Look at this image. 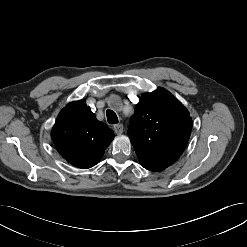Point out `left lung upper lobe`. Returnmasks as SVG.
<instances>
[{
  "label": "left lung upper lobe",
  "instance_id": "left-lung-upper-lobe-1",
  "mask_svg": "<svg viewBox=\"0 0 247 247\" xmlns=\"http://www.w3.org/2000/svg\"><path fill=\"white\" fill-rule=\"evenodd\" d=\"M191 129L187 109L166 89L158 88L141 96L127 133L140 164L161 171L181 156Z\"/></svg>",
  "mask_w": 247,
  "mask_h": 247
}]
</instances>
